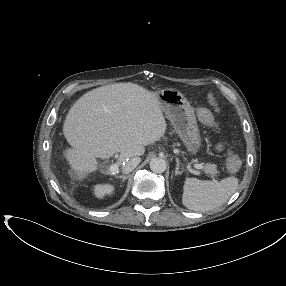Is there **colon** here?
<instances>
[{"label": "colon", "mask_w": 286, "mask_h": 286, "mask_svg": "<svg viewBox=\"0 0 286 286\" xmlns=\"http://www.w3.org/2000/svg\"><path fill=\"white\" fill-rule=\"evenodd\" d=\"M210 104L213 108H215V110H218L217 104L215 103L212 97L210 98ZM198 115H199L200 120L205 125L212 126L214 124V117L210 110L202 108L199 110ZM239 167H240V161L238 157H236L235 155H230L227 160L228 170L231 172H235L239 169Z\"/></svg>", "instance_id": "5ec220e1"}]
</instances>
